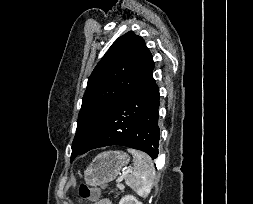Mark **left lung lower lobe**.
Masks as SVG:
<instances>
[{
    "label": "left lung lower lobe",
    "instance_id": "1",
    "mask_svg": "<svg viewBox=\"0 0 253 204\" xmlns=\"http://www.w3.org/2000/svg\"><path fill=\"white\" fill-rule=\"evenodd\" d=\"M154 63L139 85L114 108L90 135L79 155L95 148L122 145L144 151L157 158L159 88L153 79Z\"/></svg>",
    "mask_w": 253,
    "mask_h": 204
}]
</instances>
